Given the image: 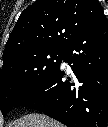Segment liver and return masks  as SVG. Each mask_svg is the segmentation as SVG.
<instances>
[{"instance_id": "liver-1", "label": "liver", "mask_w": 108, "mask_h": 127, "mask_svg": "<svg viewBox=\"0 0 108 127\" xmlns=\"http://www.w3.org/2000/svg\"><path fill=\"white\" fill-rule=\"evenodd\" d=\"M16 127H63V125L43 114H30L20 119Z\"/></svg>"}]
</instances>
